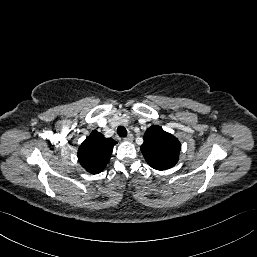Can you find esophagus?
<instances>
[{"label":"esophagus","instance_id":"1","mask_svg":"<svg viewBox=\"0 0 257 257\" xmlns=\"http://www.w3.org/2000/svg\"><path fill=\"white\" fill-rule=\"evenodd\" d=\"M133 139H134L133 135H132V134H129L126 138H124V141L132 142Z\"/></svg>","mask_w":257,"mask_h":257}]
</instances>
